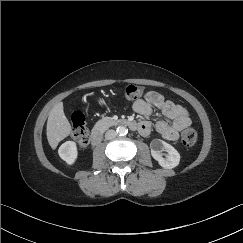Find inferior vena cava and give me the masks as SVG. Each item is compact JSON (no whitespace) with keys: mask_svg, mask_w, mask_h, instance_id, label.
<instances>
[{"mask_svg":"<svg viewBox=\"0 0 243 243\" xmlns=\"http://www.w3.org/2000/svg\"><path fill=\"white\" fill-rule=\"evenodd\" d=\"M117 133L115 130H108L106 133H105V138L107 140H112L116 137Z\"/></svg>","mask_w":243,"mask_h":243,"instance_id":"1","label":"inferior vena cava"}]
</instances>
